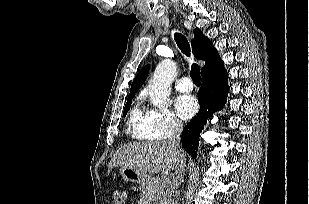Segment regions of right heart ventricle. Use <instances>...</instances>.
<instances>
[{
    "label": "right heart ventricle",
    "mask_w": 309,
    "mask_h": 204,
    "mask_svg": "<svg viewBox=\"0 0 309 204\" xmlns=\"http://www.w3.org/2000/svg\"><path fill=\"white\" fill-rule=\"evenodd\" d=\"M148 120V112L144 111L140 103H136L128 117V134L138 140L150 139L147 134Z\"/></svg>",
    "instance_id": "1"
}]
</instances>
